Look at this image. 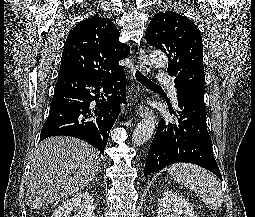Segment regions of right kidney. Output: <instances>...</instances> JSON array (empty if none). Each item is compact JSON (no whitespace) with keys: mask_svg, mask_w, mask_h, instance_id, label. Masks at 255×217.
I'll use <instances>...</instances> for the list:
<instances>
[{"mask_svg":"<svg viewBox=\"0 0 255 217\" xmlns=\"http://www.w3.org/2000/svg\"><path fill=\"white\" fill-rule=\"evenodd\" d=\"M93 197L89 192H80L62 202L53 217H94Z\"/></svg>","mask_w":255,"mask_h":217,"instance_id":"ca27d5eb","label":"right kidney"}]
</instances>
